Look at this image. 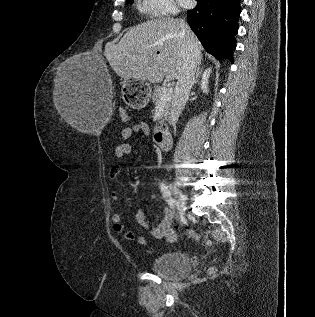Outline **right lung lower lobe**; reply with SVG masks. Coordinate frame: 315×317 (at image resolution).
I'll list each match as a JSON object with an SVG mask.
<instances>
[{
    "label": "right lung lower lobe",
    "mask_w": 315,
    "mask_h": 317,
    "mask_svg": "<svg viewBox=\"0 0 315 317\" xmlns=\"http://www.w3.org/2000/svg\"><path fill=\"white\" fill-rule=\"evenodd\" d=\"M187 11L188 23L205 50L218 60L233 59L240 0H197Z\"/></svg>",
    "instance_id": "98d812e1"
}]
</instances>
